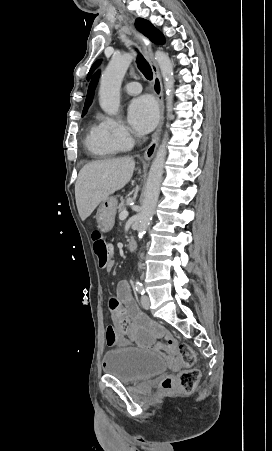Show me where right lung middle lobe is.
<instances>
[{"instance_id":"right-lung-middle-lobe-1","label":"right lung middle lobe","mask_w":272,"mask_h":451,"mask_svg":"<svg viewBox=\"0 0 272 451\" xmlns=\"http://www.w3.org/2000/svg\"><path fill=\"white\" fill-rule=\"evenodd\" d=\"M87 110H88V108H84V109H83L82 116H84V115L86 114Z\"/></svg>"}]
</instances>
